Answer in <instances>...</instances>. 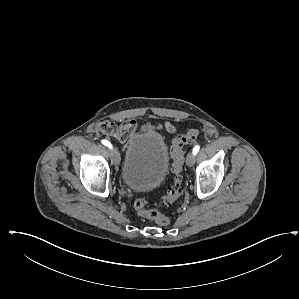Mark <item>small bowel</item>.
<instances>
[{"instance_id": "c3829d8e", "label": "small bowel", "mask_w": 299, "mask_h": 299, "mask_svg": "<svg viewBox=\"0 0 299 299\" xmlns=\"http://www.w3.org/2000/svg\"><path fill=\"white\" fill-rule=\"evenodd\" d=\"M107 124L108 128L104 132L120 143H125L138 129V125L134 120H128L119 125L113 123ZM165 129L170 133L176 131L175 127L170 124H165Z\"/></svg>"}]
</instances>
